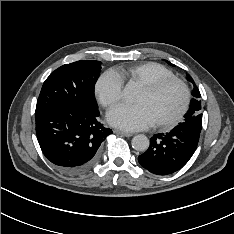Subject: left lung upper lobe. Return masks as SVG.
Wrapping results in <instances>:
<instances>
[{"label": "left lung upper lobe", "mask_w": 234, "mask_h": 234, "mask_svg": "<svg viewBox=\"0 0 234 234\" xmlns=\"http://www.w3.org/2000/svg\"><path fill=\"white\" fill-rule=\"evenodd\" d=\"M168 64L172 65V63L166 61ZM188 80L194 84L193 79L188 76ZM193 98L191 99V104L188 112L184 116V121L179 125H182L187 128L194 129L196 131L201 132L202 128V114H201V94L196 85H194V90L192 92Z\"/></svg>", "instance_id": "obj_1"}]
</instances>
